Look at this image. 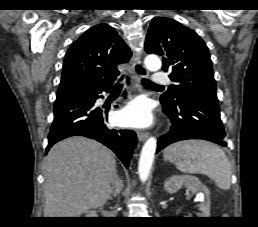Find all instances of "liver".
I'll return each instance as SVG.
<instances>
[{
  "label": "liver",
  "instance_id": "6515ba94",
  "mask_svg": "<svg viewBox=\"0 0 258 227\" xmlns=\"http://www.w3.org/2000/svg\"><path fill=\"white\" fill-rule=\"evenodd\" d=\"M114 154L95 140L71 137L55 144L44 159V217H79L110 198Z\"/></svg>",
  "mask_w": 258,
  "mask_h": 227
}]
</instances>
